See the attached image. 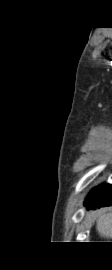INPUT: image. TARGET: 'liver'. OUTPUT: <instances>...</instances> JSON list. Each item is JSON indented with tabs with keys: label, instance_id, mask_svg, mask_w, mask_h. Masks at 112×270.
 <instances>
[{
	"label": "liver",
	"instance_id": "6515ba94",
	"mask_svg": "<svg viewBox=\"0 0 112 270\" xmlns=\"http://www.w3.org/2000/svg\"><path fill=\"white\" fill-rule=\"evenodd\" d=\"M96 229L101 237L112 238V212H102L96 221Z\"/></svg>",
	"mask_w": 112,
	"mask_h": 270
}]
</instances>
